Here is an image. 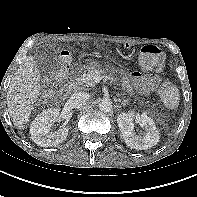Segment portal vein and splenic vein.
Segmentation results:
<instances>
[{"label": "portal vein and splenic vein", "mask_w": 197, "mask_h": 197, "mask_svg": "<svg viewBox=\"0 0 197 197\" xmlns=\"http://www.w3.org/2000/svg\"><path fill=\"white\" fill-rule=\"evenodd\" d=\"M100 80H101V77H99V76H95V77H94L95 83H99Z\"/></svg>", "instance_id": "18ae733b"}]
</instances>
